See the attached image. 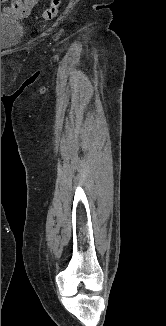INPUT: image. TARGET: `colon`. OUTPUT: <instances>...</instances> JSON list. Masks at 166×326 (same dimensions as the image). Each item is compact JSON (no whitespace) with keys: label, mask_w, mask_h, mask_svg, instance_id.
Returning a JSON list of instances; mask_svg holds the SVG:
<instances>
[{"label":"colon","mask_w":166,"mask_h":326,"mask_svg":"<svg viewBox=\"0 0 166 326\" xmlns=\"http://www.w3.org/2000/svg\"><path fill=\"white\" fill-rule=\"evenodd\" d=\"M61 4L62 0H51L50 5L39 14V17L42 20H53L57 16Z\"/></svg>","instance_id":"colon-1"}]
</instances>
